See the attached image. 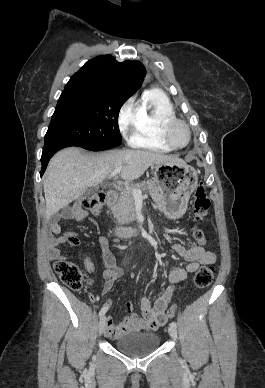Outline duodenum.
<instances>
[{"label":"duodenum","mask_w":265,"mask_h":388,"mask_svg":"<svg viewBox=\"0 0 265 388\" xmlns=\"http://www.w3.org/2000/svg\"><path fill=\"white\" fill-rule=\"evenodd\" d=\"M118 200V193L116 191H109L107 193V205L114 206ZM117 234L123 237H130L139 234V229L134 227H119L116 230Z\"/></svg>","instance_id":"410a0bca"}]
</instances>
